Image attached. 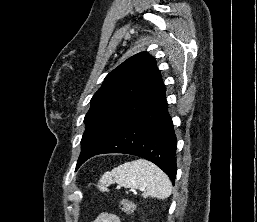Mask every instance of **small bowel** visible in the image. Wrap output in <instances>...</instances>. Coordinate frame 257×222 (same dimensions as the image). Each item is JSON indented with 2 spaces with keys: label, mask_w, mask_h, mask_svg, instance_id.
Instances as JSON below:
<instances>
[{
  "label": "small bowel",
  "mask_w": 257,
  "mask_h": 222,
  "mask_svg": "<svg viewBox=\"0 0 257 222\" xmlns=\"http://www.w3.org/2000/svg\"><path fill=\"white\" fill-rule=\"evenodd\" d=\"M93 222H121V219L114 213H102Z\"/></svg>",
  "instance_id": "small-bowel-1"
}]
</instances>
